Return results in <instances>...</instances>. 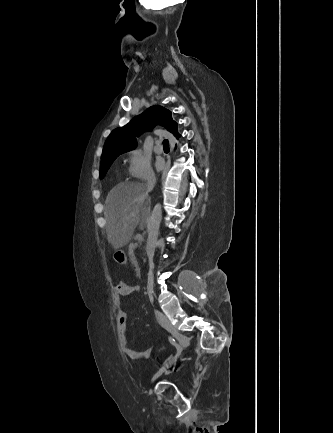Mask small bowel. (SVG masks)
Listing matches in <instances>:
<instances>
[{
  "instance_id": "small-bowel-1",
  "label": "small bowel",
  "mask_w": 333,
  "mask_h": 433,
  "mask_svg": "<svg viewBox=\"0 0 333 433\" xmlns=\"http://www.w3.org/2000/svg\"><path fill=\"white\" fill-rule=\"evenodd\" d=\"M138 291L139 287L129 285L124 282L118 283L114 288V302L116 305L115 315L117 319L119 343L124 354L132 360H141L144 358H148L151 356L154 349V347H151L143 352H138L130 348L128 343V332L126 328L127 314L121 308V303L124 298L129 297L130 295Z\"/></svg>"
}]
</instances>
